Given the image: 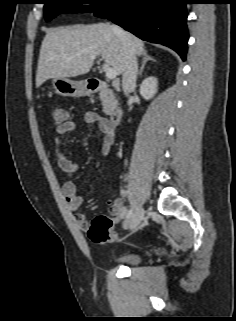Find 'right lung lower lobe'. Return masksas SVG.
I'll list each match as a JSON object with an SVG mask.
<instances>
[{
	"label": "right lung lower lobe",
	"instance_id": "right-lung-lower-lobe-1",
	"mask_svg": "<svg viewBox=\"0 0 236 321\" xmlns=\"http://www.w3.org/2000/svg\"><path fill=\"white\" fill-rule=\"evenodd\" d=\"M186 0H110L95 11L137 37L163 44L185 60L188 42Z\"/></svg>",
	"mask_w": 236,
	"mask_h": 321
}]
</instances>
